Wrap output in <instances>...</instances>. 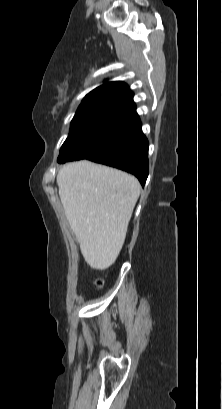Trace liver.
<instances>
[{"label": "liver", "instance_id": "obj_1", "mask_svg": "<svg viewBox=\"0 0 222 409\" xmlns=\"http://www.w3.org/2000/svg\"><path fill=\"white\" fill-rule=\"evenodd\" d=\"M68 223L87 264L105 270L116 261L140 195L138 180L87 160L64 165L57 174Z\"/></svg>", "mask_w": 222, "mask_h": 409}]
</instances>
